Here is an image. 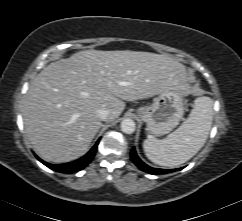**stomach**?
Returning a JSON list of instances; mask_svg holds the SVG:
<instances>
[{"mask_svg":"<svg viewBox=\"0 0 242 221\" xmlns=\"http://www.w3.org/2000/svg\"><path fill=\"white\" fill-rule=\"evenodd\" d=\"M136 112L146 123L147 132L162 136L172 131L182 119L183 95L171 90L161 92L150 105L139 107Z\"/></svg>","mask_w":242,"mask_h":221,"instance_id":"1","label":"stomach"}]
</instances>
